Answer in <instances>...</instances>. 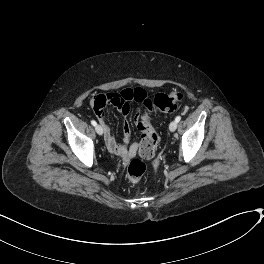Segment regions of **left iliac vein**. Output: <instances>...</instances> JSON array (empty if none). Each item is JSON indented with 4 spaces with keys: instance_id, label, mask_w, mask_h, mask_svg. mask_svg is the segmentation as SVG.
<instances>
[{
    "instance_id": "1",
    "label": "left iliac vein",
    "mask_w": 264,
    "mask_h": 264,
    "mask_svg": "<svg viewBox=\"0 0 264 264\" xmlns=\"http://www.w3.org/2000/svg\"><path fill=\"white\" fill-rule=\"evenodd\" d=\"M177 125H178V123H177L175 120L172 121V122L170 123V125H169V129H170V131L174 132V131L176 130V128H177Z\"/></svg>"
}]
</instances>
